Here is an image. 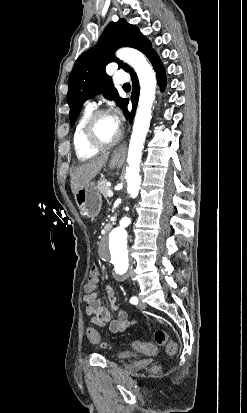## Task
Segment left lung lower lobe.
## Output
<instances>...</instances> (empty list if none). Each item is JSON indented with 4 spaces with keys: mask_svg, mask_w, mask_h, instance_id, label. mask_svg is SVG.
Here are the masks:
<instances>
[{
    "mask_svg": "<svg viewBox=\"0 0 247 413\" xmlns=\"http://www.w3.org/2000/svg\"><path fill=\"white\" fill-rule=\"evenodd\" d=\"M148 58H149L150 62L152 63V65L154 67V70L156 72L158 84L161 87V89L163 90L165 88V85H166V77H165V70H164V67L161 63V60H160V58H159V56L157 55L156 52H154ZM131 78H132V87H133V92H132V97H131L133 110L131 112V116L129 117V112H128L127 108L124 111L126 118L127 119L130 118V122L132 121V118H133V115H134V111H135V108H136V105H137V98H138V94H139V82H138L137 75L135 73H133V74H131ZM127 104H128V102H127Z\"/></svg>",
    "mask_w": 247,
    "mask_h": 413,
    "instance_id": "left-lung-lower-lobe-1",
    "label": "left lung lower lobe"
}]
</instances>
